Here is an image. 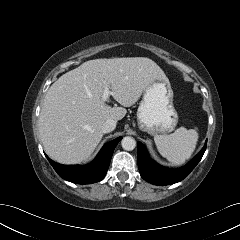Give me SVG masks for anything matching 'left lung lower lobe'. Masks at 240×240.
Segmentation results:
<instances>
[{"label":"left lung lower lobe","mask_w":240,"mask_h":240,"mask_svg":"<svg viewBox=\"0 0 240 240\" xmlns=\"http://www.w3.org/2000/svg\"><path fill=\"white\" fill-rule=\"evenodd\" d=\"M207 141L199 152L187 165L178 169H168L152 160L145 146L138 142V168L141 177L154 185H169L183 180L195 168L201 160L205 150Z\"/></svg>","instance_id":"1"}]
</instances>
